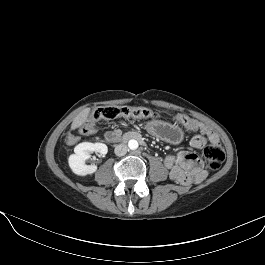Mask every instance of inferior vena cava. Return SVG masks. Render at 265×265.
Returning a JSON list of instances; mask_svg holds the SVG:
<instances>
[{
  "instance_id": "602c4592",
  "label": "inferior vena cava",
  "mask_w": 265,
  "mask_h": 265,
  "mask_svg": "<svg viewBox=\"0 0 265 265\" xmlns=\"http://www.w3.org/2000/svg\"><path fill=\"white\" fill-rule=\"evenodd\" d=\"M128 151V147L125 144H118L114 149L116 156H124Z\"/></svg>"
}]
</instances>
